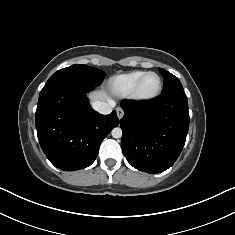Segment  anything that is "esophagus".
I'll return each mask as SVG.
<instances>
[{
  "label": "esophagus",
  "instance_id": "34e87169",
  "mask_svg": "<svg viewBox=\"0 0 235 235\" xmlns=\"http://www.w3.org/2000/svg\"><path fill=\"white\" fill-rule=\"evenodd\" d=\"M116 111H117L118 118L122 119L124 116V111L121 108H117Z\"/></svg>",
  "mask_w": 235,
  "mask_h": 235
}]
</instances>
